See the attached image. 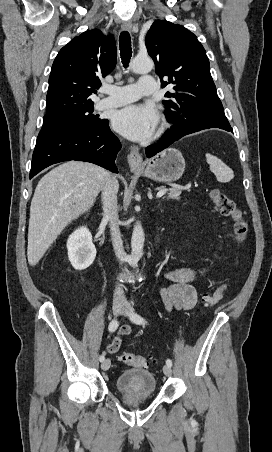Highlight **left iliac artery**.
I'll return each instance as SVG.
<instances>
[{
  "label": "left iliac artery",
  "instance_id": "44dca946",
  "mask_svg": "<svg viewBox=\"0 0 272 452\" xmlns=\"http://www.w3.org/2000/svg\"><path fill=\"white\" fill-rule=\"evenodd\" d=\"M131 320L136 323V324H143L145 325L147 323V321L141 317L140 315L136 314V313H132L131 314ZM166 364L169 365L170 367L172 366V361L170 359L166 360Z\"/></svg>",
  "mask_w": 272,
  "mask_h": 452
}]
</instances>
